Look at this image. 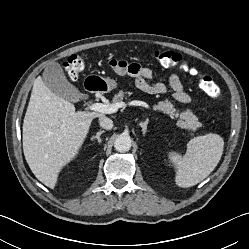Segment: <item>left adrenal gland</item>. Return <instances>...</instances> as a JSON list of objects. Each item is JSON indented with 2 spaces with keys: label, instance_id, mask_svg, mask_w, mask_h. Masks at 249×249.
<instances>
[{
  "label": "left adrenal gland",
  "instance_id": "left-adrenal-gland-1",
  "mask_svg": "<svg viewBox=\"0 0 249 249\" xmlns=\"http://www.w3.org/2000/svg\"><path fill=\"white\" fill-rule=\"evenodd\" d=\"M148 118L144 122H140L139 125L142 128L143 136H145L146 131H147V125H148Z\"/></svg>",
  "mask_w": 249,
  "mask_h": 249
}]
</instances>
